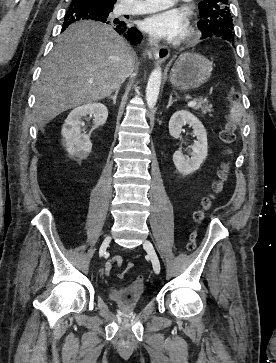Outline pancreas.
Returning <instances> with one entry per match:
<instances>
[{
  "label": "pancreas",
  "instance_id": "pancreas-1",
  "mask_svg": "<svg viewBox=\"0 0 276 363\" xmlns=\"http://www.w3.org/2000/svg\"><path fill=\"white\" fill-rule=\"evenodd\" d=\"M195 110H200L202 114H207L212 111V106L209 105V102L206 99H196Z\"/></svg>",
  "mask_w": 276,
  "mask_h": 363
}]
</instances>
